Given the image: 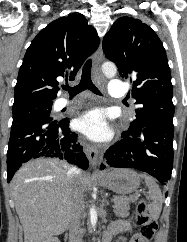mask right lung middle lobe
I'll return each instance as SVG.
<instances>
[{"mask_svg":"<svg viewBox=\"0 0 187 242\" xmlns=\"http://www.w3.org/2000/svg\"><path fill=\"white\" fill-rule=\"evenodd\" d=\"M52 103H31L20 106H14L13 122L17 124L26 119L50 117Z\"/></svg>","mask_w":187,"mask_h":242,"instance_id":"dd1d6c3e","label":"right lung middle lobe"}]
</instances>
